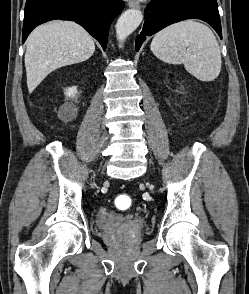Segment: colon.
<instances>
[{
  "label": "colon",
  "instance_id": "obj_1",
  "mask_svg": "<svg viewBox=\"0 0 249 294\" xmlns=\"http://www.w3.org/2000/svg\"><path fill=\"white\" fill-rule=\"evenodd\" d=\"M132 203V199L126 195H121L116 198V206L121 209H128L131 207Z\"/></svg>",
  "mask_w": 249,
  "mask_h": 294
}]
</instances>
